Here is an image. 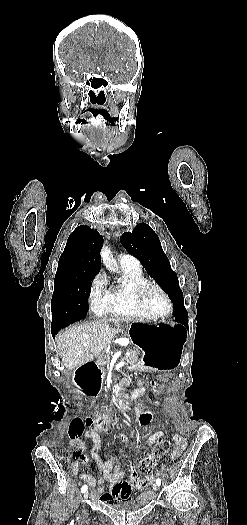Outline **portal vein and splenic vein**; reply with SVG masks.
<instances>
[{"label":"portal vein and splenic vein","mask_w":247,"mask_h":525,"mask_svg":"<svg viewBox=\"0 0 247 525\" xmlns=\"http://www.w3.org/2000/svg\"><path fill=\"white\" fill-rule=\"evenodd\" d=\"M125 356H130V353H125ZM122 366H125V361H119L117 365H114L113 370H120ZM110 364H106L105 370H109Z\"/></svg>","instance_id":"portal-vein-and-splenic-vein-1"}]
</instances>
